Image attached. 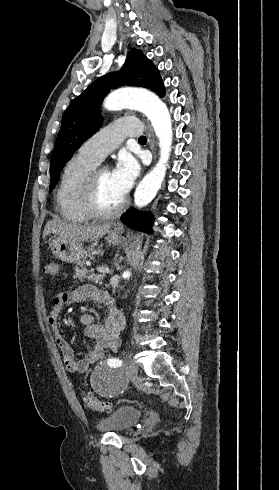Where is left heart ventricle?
Here are the masks:
<instances>
[{"label": "left heart ventricle", "mask_w": 279, "mask_h": 490, "mask_svg": "<svg viewBox=\"0 0 279 490\" xmlns=\"http://www.w3.org/2000/svg\"><path fill=\"white\" fill-rule=\"evenodd\" d=\"M99 186H100V193H99V199L101 205L106 208L110 209L116 206L122 198H120L117 193L116 189L111 181V172L108 170H104L101 172L99 176Z\"/></svg>", "instance_id": "left-heart-ventricle-1"}]
</instances>
